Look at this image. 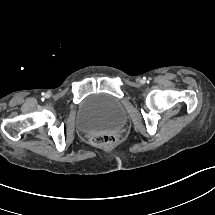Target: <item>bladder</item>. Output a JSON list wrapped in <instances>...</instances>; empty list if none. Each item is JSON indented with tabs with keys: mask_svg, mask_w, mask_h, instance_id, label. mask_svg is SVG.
<instances>
[{
	"mask_svg": "<svg viewBox=\"0 0 215 215\" xmlns=\"http://www.w3.org/2000/svg\"><path fill=\"white\" fill-rule=\"evenodd\" d=\"M125 120L126 111L118 99L95 95L79 105L75 125L85 134H103L118 131Z\"/></svg>",
	"mask_w": 215,
	"mask_h": 215,
	"instance_id": "obj_1",
	"label": "bladder"
}]
</instances>
